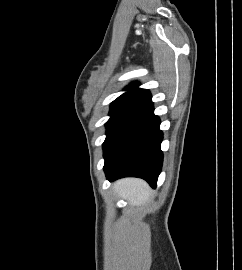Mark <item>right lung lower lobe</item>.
<instances>
[{
  "mask_svg": "<svg viewBox=\"0 0 242 270\" xmlns=\"http://www.w3.org/2000/svg\"><path fill=\"white\" fill-rule=\"evenodd\" d=\"M150 101L136 108L124 123L110 147L104 152V171L108 180L134 176L156 187L163 154L162 131Z\"/></svg>",
  "mask_w": 242,
  "mask_h": 270,
  "instance_id": "obj_1",
  "label": "right lung lower lobe"
}]
</instances>
